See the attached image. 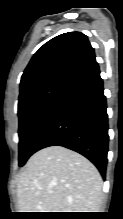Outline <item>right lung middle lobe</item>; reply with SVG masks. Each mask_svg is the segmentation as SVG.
<instances>
[{
  "label": "right lung middle lobe",
  "instance_id": "1",
  "mask_svg": "<svg viewBox=\"0 0 123 219\" xmlns=\"http://www.w3.org/2000/svg\"><path fill=\"white\" fill-rule=\"evenodd\" d=\"M69 81L56 80L37 86L19 97V166L34 153V143L55 103Z\"/></svg>",
  "mask_w": 123,
  "mask_h": 219
}]
</instances>
